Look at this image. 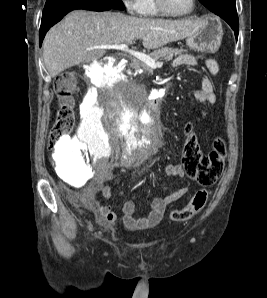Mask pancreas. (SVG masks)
<instances>
[{
    "instance_id": "obj_1",
    "label": "pancreas",
    "mask_w": 267,
    "mask_h": 298,
    "mask_svg": "<svg viewBox=\"0 0 267 298\" xmlns=\"http://www.w3.org/2000/svg\"><path fill=\"white\" fill-rule=\"evenodd\" d=\"M183 49H176L171 47H162L161 49L155 50L150 54L154 60H171L173 56L179 55L183 52ZM131 67L135 70L139 68H143L146 71H151L150 67L146 65L144 62L140 61L139 59H134Z\"/></svg>"
}]
</instances>
